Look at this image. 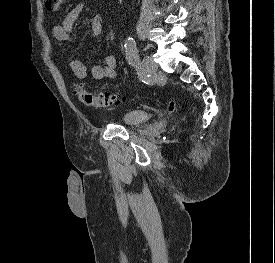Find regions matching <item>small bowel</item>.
I'll list each match as a JSON object with an SVG mask.
<instances>
[{"label": "small bowel", "mask_w": 275, "mask_h": 263, "mask_svg": "<svg viewBox=\"0 0 275 263\" xmlns=\"http://www.w3.org/2000/svg\"><path fill=\"white\" fill-rule=\"evenodd\" d=\"M89 1L85 0L71 9L63 18L60 24L56 25L53 29L54 37L65 43H70L74 39L73 27L84 11ZM103 27V17L101 15H96L91 19L90 22V33L93 37L100 35ZM67 63L78 79H85L87 77V67L81 61L75 59L72 56L67 57ZM117 62L114 56H106L103 58L99 65H93L90 68V74L95 80L103 79H114L116 77Z\"/></svg>", "instance_id": "c3829d8e"}]
</instances>
